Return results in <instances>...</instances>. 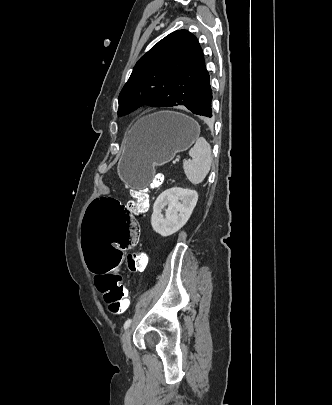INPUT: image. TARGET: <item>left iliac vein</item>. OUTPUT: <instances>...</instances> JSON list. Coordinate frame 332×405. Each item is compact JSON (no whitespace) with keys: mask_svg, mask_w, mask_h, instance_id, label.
<instances>
[{"mask_svg":"<svg viewBox=\"0 0 332 405\" xmlns=\"http://www.w3.org/2000/svg\"><path fill=\"white\" fill-rule=\"evenodd\" d=\"M122 347L126 355H131L132 346H131V330L128 328L125 330L122 336Z\"/></svg>","mask_w":332,"mask_h":405,"instance_id":"4c4485c4","label":"left iliac vein"}]
</instances>
